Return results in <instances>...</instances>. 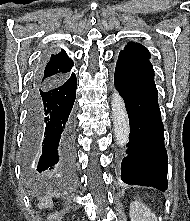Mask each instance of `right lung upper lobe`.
<instances>
[{
	"mask_svg": "<svg viewBox=\"0 0 190 221\" xmlns=\"http://www.w3.org/2000/svg\"><path fill=\"white\" fill-rule=\"evenodd\" d=\"M73 65V61L62 49L60 53L51 55L46 67L38 73V83L43 84L65 79L71 74Z\"/></svg>",
	"mask_w": 190,
	"mask_h": 221,
	"instance_id": "cb5924a9",
	"label": "right lung upper lobe"
}]
</instances>
